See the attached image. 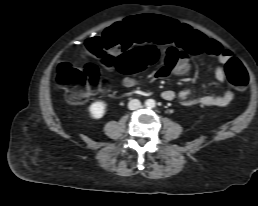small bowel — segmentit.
<instances>
[{"label":"small bowel","instance_id":"small-bowel-1","mask_svg":"<svg viewBox=\"0 0 258 206\" xmlns=\"http://www.w3.org/2000/svg\"><path fill=\"white\" fill-rule=\"evenodd\" d=\"M116 33L117 27H111L105 31L102 39L93 38L89 41H101L113 55H118L124 49V44L117 40ZM163 41L169 44L164 50V62L149 78V81L165 78L171 74H187L191 69L188 55L207 53L217 58L220 65L214 70L215 78L218 82H224L226 74L222 65L231 58L232 54L220 43L208 39L205 35L189 26L180 24L176 25L175 32L165 35ZM121 83L124 87L132 88L140 85L142 81L133 77H124ZM192 93L193 88L190 87L178 93L173 90H165L161 96L166 101L179 99L183 106H226L233 100L231 91H226L223 94H205L190 98Z\"/></svg>","mask_w":258,"mask_h":206}]
</instances>
